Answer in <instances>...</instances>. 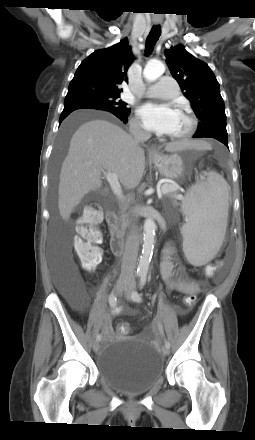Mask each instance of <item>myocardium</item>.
<instances>
[{
    "instance_id": "myocardium-1",
    "label": "myocardium",
    "mask_w": 255,
    "mask_h": 440,
    "mask_svg": "<svg viewBox=\"0 0 255 440\" xmlns=\"http://www.w3.org/2000/svg\"><path fill=\"white\" fill-rule=\"evenodd\" d=\"M179 111L181 113H183L185 115V117L187 118L188 126L183 132H181L177 135H171V138L174 140H184V139L190 137L195 132L197 125H198L196 117L193 115V113L187 107L182 106L179 108Z\"/></svg>"
}]
</instances>
